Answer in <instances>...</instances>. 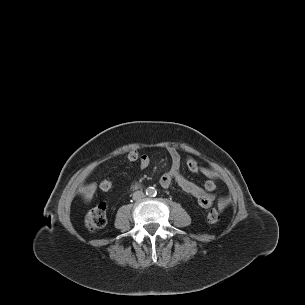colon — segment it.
Returning <instances> with one entry per match:
<instances>
[{
  "label": "colon",
  "instance_id": "colon-1",
  "mask_svg": "<svg viewBox=\"0 0 305 305\" xmlns=\"http://www.w3.org/2000/svg\"><path fill=\"white\" fill-rule=\"evenodd\" d=\"M142 154L138 148H130L125 153V158L130 163H139ZM102 191H110L113 187V182L110 179H103L99 185ZM220 213L216 209H211L208 213V220L211 223L219 221ZM107 222V207L104 203H100L96 207L92 208L86 215L85 223L86 227L91 230H97L105 226Z\"/></svg>",
  "mask_w": 305,
  "mask_h": 305
}]
</instances>
